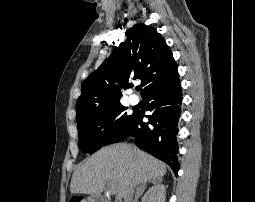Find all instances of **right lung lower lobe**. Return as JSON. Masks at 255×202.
Returning <instances> with one entry per match:
<instances>
[{
  "mask_svg": "<svg viewBox=\"0 0 255 202\" xmlns=\"http://www.w3.org/2000/svg\"><path fill=\"white\" fill-rule=\"evenodd\" d=\"M147 110L148 123L142 121L144 112L136 111L134 121L124 137H134L136 145L167 163L175 174L178 173V144L176 135L180 117L182 92L177 78L168 85L148 92L143 96Z\"/></svg>",
  "mask_w": 255,
  "mask_h": 202,
  "instance_id": "right-lung-lower-lobe-1",
  "label": "right lung lower lobe"
}]
</instances>
